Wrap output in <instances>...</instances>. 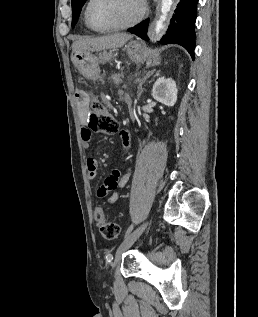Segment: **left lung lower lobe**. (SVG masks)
I'll return each instance as SVG.
<instances>
[{"mask_svg":"<svg viewBox=\"0 0 258 317\" xmlns=\"http://www.w3.org/2000/svg\"><path fill=\"white\" fill-rule=\"evenodd\" d=\"M199 0H181L177 5L166 35L159 41L161 44L176 43L183 46L194 59L195 21ZM149 19L129 29V32L148 40L146 35Z\"/></svg>","mask_w":258,"mask_h":317,"instance_id":"0a47b994","label":"left lung lower lobe"}]
</instances>
